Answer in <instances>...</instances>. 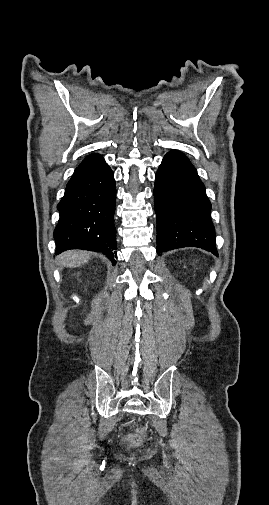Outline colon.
Returning a JSON list of instances; mask_svg holds the SVG:
<instances>
[{
    "label": "colon",
    "mask_w": 269,
    "mask_h": 505,
    "mask_svg": "<svg viewBox=\"0 0 269 505\" xmlns=\"http://www.w3.org/2000/svg\"><path fill=\"white\" fill-rule=\"evenodd\" d=\"M141 441L140 435H131L126 438V442L130 445L138 444Z\"/></svg>",
    "instance_id": "5ec220e1"
}]
</instances>
